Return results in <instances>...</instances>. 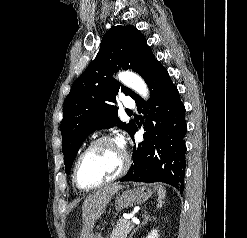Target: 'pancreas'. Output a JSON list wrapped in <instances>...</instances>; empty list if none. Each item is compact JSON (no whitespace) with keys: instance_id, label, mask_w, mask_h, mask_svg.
Returning a JSON list of instances; mask_svg holds the SVG:
<instances>
[{"instance_id":"cf45deb5","label":"pancreas","mask_w":247,"mask_h":238,"mask_svg":"<svg viewBox=\"0 0 247 238\" xmlns=\"http://www.w3.org/2000/svg\"><path fill=\"white\" fill-rule=\"evenodd\" d=\"M134 225L126 219H119L116 223L110 238H127V235L131 232Z\"/></svg>"}]
</instances>
